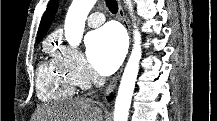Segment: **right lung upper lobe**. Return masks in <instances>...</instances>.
<instances>
[{
    "label": "right lung upper lobe",
    "instance_id": "1",
    "mask_svg": "<svg viewBox=\"0 0 217 121\" xmlns=\"http://www.w3.org/2000/svg\"><path fill=\"white\" fill-rule=\"evenodd\" d=\"M56 9H57V0H51L40 22L37 40H36L37 43L40 42L44 37V35L46 34L53 20Z\"/></svg>",
    "mask_w": 217,
    "mask_h": 121
}]
</instances>
